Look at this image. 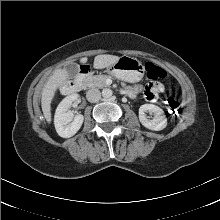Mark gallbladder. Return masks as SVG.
Here are the masks:
<instances>
[{
    "label": "gallbladder",
    "instance_id": "bac80fb5",
    "mask_svg": "<svg viewBox=\"0 0 220 220\" xmlns=\"http://www.w3.org/2000/svg\"><path fill=\"white\" fill-rule=\"evenodd\" d=\"M78 70H79V65L76 63H71L67 67V71L72 77L77 75Z\"/></svg>",
    "mask_w": 220,
    "mask_h": 220
}]
</instances>
